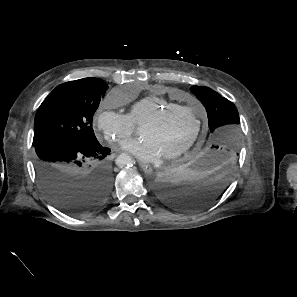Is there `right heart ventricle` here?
Here are the masks:
<instances>
[{
    "label": "right heart ventricle",
    "mask_w": 297,
    "mask_h": 297,
    "mask_svg": "<svg viewBox=\"0 0 297 297\" xmlns=\"http://www.w3.org/2000/svg\"><path fill=\"white\" fill-rule=\"evenodd\" d=\"M173 105L177 104L161 96L149 95L133 103L128 116L133 124L142 126V124L155 113Z\"/></svg>",
    "instance_id": "1"
}]
</instances>
